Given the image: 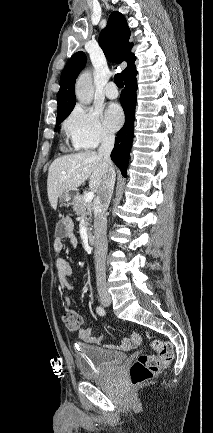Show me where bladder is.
I'll return each instance as SVG.
<instances>
[{"instance_id":"1","label":"bladder","mask_w":213,"mask_h":433,"mask_svg":"<svg viewBox=\"0 0 213 433\" xmlns=\"http://www.w3.org/2000/svg\"><path fill=\"white\" fill-rule=\"evenodd\" d=\"M75 360L83 378L100 379L113 373L124 362L125 355L97 346L79 344L75 349Z\"/></svg>"}]
</instances>
